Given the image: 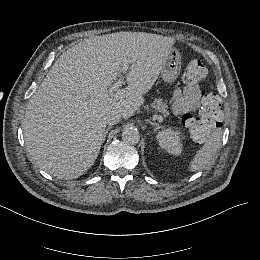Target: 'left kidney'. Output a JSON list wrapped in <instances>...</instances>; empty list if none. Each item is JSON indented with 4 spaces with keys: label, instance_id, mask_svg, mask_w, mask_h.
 I'll return each instance as SVG.
<instances>
[{
    "label": "left kidney",
    "instance_id": "obj_1",
    "mask_svg": "<svg viewBox=\"0 0 260 260\" xmlns=\"http://www.w3.org/2000/svg\"><path fill=\"white\" fill-rule=\"evenodd\" d=\"M159 145L167 152L177 155L181 151L180 135L178 131L166 129L157 135Z\"/></svg>",
    "mask_w": 260,
    "mask_h": 260
}]
</instances>
